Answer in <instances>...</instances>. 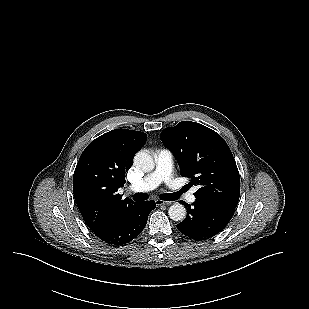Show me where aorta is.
<instances>
[{
	"label": "aorta",
	"instance_id": "aorta-1",
	"mask_svg": "<svg viewBox=\"0 0 309 309\" xmlns=\"http://www.w3.org/2000/svg\"><path fill=\"white\" fill-rule=\"evenodd\" d=\"M134 164L145 173L151 172L155 167L153 157L146 151L136 153ZM168 215L173 221H183L186 217V208L180 203H175L169 207Z\"/></svg>",
	"mask_w": 309,
	"mask_h": 309
}]
</instances>
